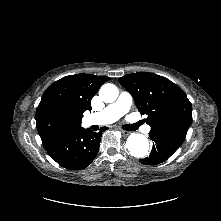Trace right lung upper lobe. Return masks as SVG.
<instances>
[{
  "label": "right lung upper lobe",
  "mask_w": 221,
  "mask_h": 221,
  "mask_svg": "<svg viewBox=\"0 0 221 221\" xmlns=\"http://www.w3.org/2000/svg\"><path fill=\"white\" fill-rule=\"evenodd\" d=\"M110 79L107 76L75 74L51 84L36 109V125L43 145L47 146L65 135L82 129L83 113L91 110V99L101 85ZM55 118H62L64 127L59 132L49 135L46 125Z\"/></svg>",
  "instance_id": "obj_1"
}]
</instances>
